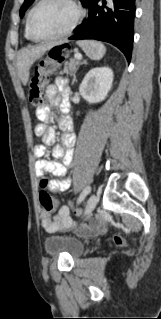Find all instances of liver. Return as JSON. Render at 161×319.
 I'll return each mask as SVG.
<instances>
[{"mask_svg":"<svg viewBox=\"0 0 161 319\" xmlns=\"http://www.w3.org/2000/svg\"><path fill=\"white\" fill-rule=\"evenodd\" d=\"M52 46L53 44L46 43L35 47L23 48L18 52L17 69L23 85H26L28 82L30 75L29 70L32 64L42 55H44V53Z\"/></svg>","mask_w":161,"mask_h":319,"instance_id":"6515ba94","label":"liver"}]
</instances>
